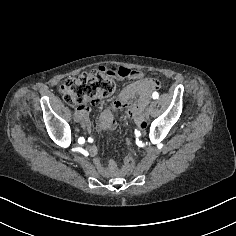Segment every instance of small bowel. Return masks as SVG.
I'll return each instance as SVG.
<instances>
[{
    "label": "small bowel",
    "instance_id": "1",
    "mask_svg": "<svg viewBox=\"0 0 236 236\" xmlns=\"http://www.w3.org/2000/svg\"><path fill=\"white\" fill-rule=\"evenodd\" d=\"M130 72V76H121V78H129L133 81L125 86L118 98L111 104L107 105L101 112L96 125V129L99 132H104L113 128V110L119 109H126V115L128 118L133 119L139 127L142 128L144 126V109L148 103L151 91L156 89L159 86V83L154 79L145 78L142 72L133 70H130ZM136 97L137 99L134 101ZM98 103L99 101L95 99L91 101L90 105L81 104L77 107L76 119L88 132L92 130V125L89 119L91 106ZM89 142L93 143V139L90 138ZM88 152L90 155L95 156L98 153V147L91 144L88 147ZM94 164L96 168L105 176L115 177L123 172V167L119 168L114 162L103 164L99 159H95Z\"/></svg>",
    "mask_w": 236,
    "mask_h": 236
}]
</instances>
